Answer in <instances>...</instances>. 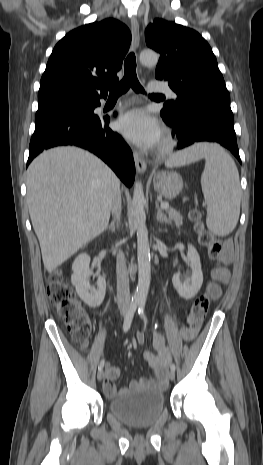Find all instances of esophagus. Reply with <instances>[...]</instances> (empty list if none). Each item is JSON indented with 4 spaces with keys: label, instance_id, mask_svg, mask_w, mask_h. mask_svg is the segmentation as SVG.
Returning <instances> with one entry per match:
<instances>
[{
    "label": "esophagus",
    "instance_id": "obj_1",
    "mask_svg": "<svg viewBox=\"0 0 263 465\" xmlns=\"http://www.w3.org/2000/svg\"><path fill=\"white\" fill-rule=\"evenodd\" d=\"M131 33H132L133 49L136 50L139 47V43H140V33H139V23L135 17L131 18ZM133 157H134L137 172L139 174L144 173L147 167L146 161L143 159V157H141V155L136 150L133 151Z\"/></svg>",
    "mask_w": 263,
    "mask_h": 465
}]
</instances>
